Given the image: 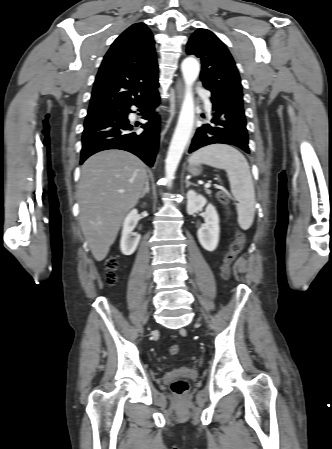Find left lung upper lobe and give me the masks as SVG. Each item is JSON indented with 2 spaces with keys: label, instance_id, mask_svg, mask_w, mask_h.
I'll use <instances>...</instances> for the list:
<instances>
[{
  "label": "left lung upper lobe",
  "instance_id": "5c2ea615",
  "mask_svg": "<svg viewBox=\"0 0 332 449\" xmlns=\"http://www.w3.org/2000/svg\"><path fill=\"white\" fill-rule=\"evenodd\" d=\"M187 54L201 59L200 79L213 97L243 108L242 86L235 62L215 34L207 29L196 30L187 43Z\"/></svg>",
  "mask_w": 332,
  "mask_h": 449
}]
</instances>
